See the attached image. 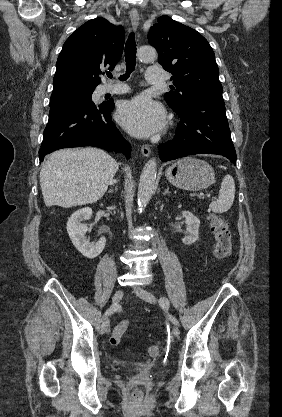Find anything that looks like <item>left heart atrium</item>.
I'll return each mask as SVG.
<instances>
[{
    "mask_svg": "<svg viewBox=\"0 0 282 417\" xmlns=\"http://www.w3.org/2000/svg\"><path fill=\"white\" fill-rule=\"evenodd\" d=\"M118 117L130 132L149 135L163 128L165 114L159 104L146 96H138L120 107Z\"/></svg>",
    "mask_w": 282,
    "mask_h": 417,
    "instance_id": "39dd6f15",
    "label": "left heart atrium"
}]
</instances>
